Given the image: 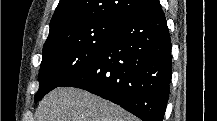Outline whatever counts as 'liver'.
Returning <instances> with one entry per match:
<instances>
[{
  "label": "liver",
  "mask_w": 217,
  "mask_h": 121,
  "mask_svg": "<svg viewBox=\"0 0 217 121\" xmlns=\"http://www.w3.org/2000/svg\"><path fill=\"white\" fill-rule=\"evenodd\" d=\"M35 121H138L136 117L87 91L61 87L39 103Z\"/></svg>",
  "instance_id": "6515ba94"
}]
</instances>
